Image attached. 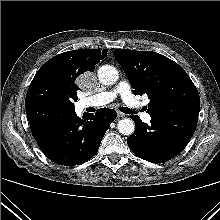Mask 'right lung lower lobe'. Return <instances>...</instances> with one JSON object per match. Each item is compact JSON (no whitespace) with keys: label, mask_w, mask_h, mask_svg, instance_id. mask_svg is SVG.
<instances>
[{"label":"right lung lower lobe","mask_w":220,"mask_h":220,"mask_svg":"<svg viewBox=\"0 0 220 220\" xmlns=\"http://www.w3.org/2000/svg\"><path fill=\"white\" fill-rule=\"evenodd\" d=\"M25 107L41 150L51 161L64 166L92 158L117 115L113 109L102 108L81 120L74 108L43 100H26Z\"/></svg>","instance_id":"98d812e1"}]
</instances>
